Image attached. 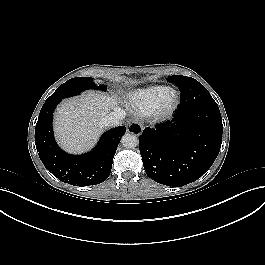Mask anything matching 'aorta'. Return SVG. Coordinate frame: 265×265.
Returning a JSON list of instances; mask_svg holds the SVG:
<instances>
[{
	"mask_svg": "<svg viewBox=\"0 0 265 265\" xmlns=\"http://www.w3.org/2000/svg\"><path fill=\"white\" fill-rule=\"evenodd\" d=\"M121 143L125 148L132 149L138 145L139 140L136 135L127 133L121 138Z\"/></svg>",
	"mask_w": 265,
	"mask_h": 265,
	"instance_id": "aorta-1",
	"label": "aorta"
}]
</instances>
